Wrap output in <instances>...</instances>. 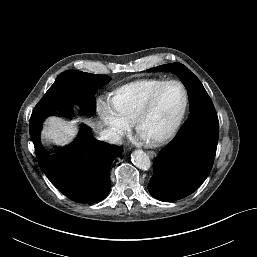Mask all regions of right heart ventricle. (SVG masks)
Segmentation results:
<instances>
[{
    "label": "right heart ventricle",
    "mask_w": 257,
    "mask_h": 257,
    "mask_svg": "<svg viewBox=\"0 0 257 257\" xmlns=\"http://www.w3.org/2000/svg\"><path fill=\"white\" fill-rule=\"evenodd\" d=\"M163 82L164 79L158 78L136 80L116 89L112 99L117 109L125 117L133 120L151 92Z\"/></svg>",
    "instance_id": "right-heart-ventricle-1"
}]
</instances>
